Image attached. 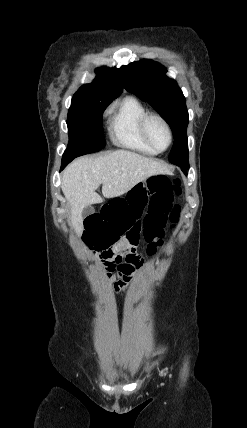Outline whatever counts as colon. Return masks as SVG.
<instances>
[{
  "label": "colon",
  "instance_id": "obj_1",
  "mask_svg": "<svg viewBox=\"0 0 247 428\" xmlns=\"http://www.w3.org/2000/svg\"><path fill=\"white\" fill-rule=\"evenodd\" d=\"M180 193L179 179L150 177L137 185L128 198L126 194H117L109 204H101V212H88L80 241L87 243L88 251H100L105 269L111 272L120 262L115 255L116 239H122L126 232L125 239L133 246L126 259L140 267L143 260L136 253L140 237L149 243L148 252L154 253L167 219L172 223L178 220L180 209L174 200Z\"/></svg>",
  "mask_w": 247,
  "mask_h": 428
}]
</instances>
